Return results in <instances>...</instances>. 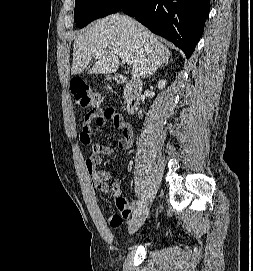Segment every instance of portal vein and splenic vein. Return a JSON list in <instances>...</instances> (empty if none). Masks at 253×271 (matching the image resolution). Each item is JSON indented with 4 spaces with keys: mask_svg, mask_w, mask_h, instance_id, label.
Listing matches in <instances>:
<instances>
[{
    "mask_svg": "<svg viewBox=\"0 0 253 271\" xmlns=\"http://www.w3.org/2000/svg\"><path fill=\"white\" fill-rule=\"evenodd\" d=\"M119 56H120V58L122 59V62H123V63H126V64H128V65H131V64L133 63V61H132V60L129 58V56L126 55L125 53L120 52V53H119Z\"/></svg>",
    "mask_w": 253,
    "mask_h": 271,
    "instance_id": "18ae733b",
    "label": "portal vein and splenic vein"
}]
</instances>
